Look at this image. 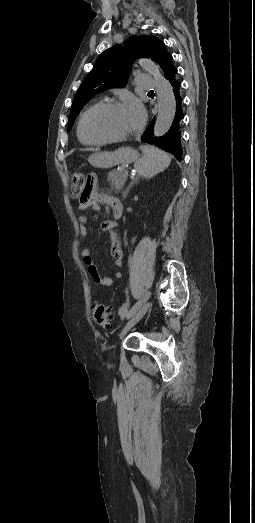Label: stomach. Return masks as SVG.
Wrapping results in <instances>:
<instances>
[{"label": "stomach", "mask_w": 255, "mask_h": 523, "mask_svg": "<svg viewBox=\"0 0 255 523\" xmlns=\"http://www.w3.org/2000/svg\"><path fill=\"white\" fill-rule=\"evenodd\" d=\"M138 158L133 148H119L115 151H94L89 159L91 167L112 168L118 164H131Z\"/></svg>", "instance_id": "obj_1"}]
</instances>
